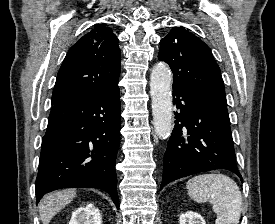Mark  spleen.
Masks as SVG:
<instances>
[{"mask_svg":"<svg viewBox=\"0 0 275 224\" xmlns=\"http://www.w3.org/2000/svg\"><path fill=\"white\" fill-rule=\"evenodd\" d=\"M189 196L198 203L210 201L217 214L215 224H238L242 196L238 185L223 174H202L188 180Z\"/></svg>","mask_w":275,"mask_h":224,"instance_id":"obj_1","label":"spleen"}]
</instances>
